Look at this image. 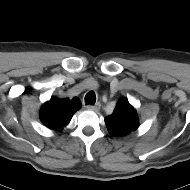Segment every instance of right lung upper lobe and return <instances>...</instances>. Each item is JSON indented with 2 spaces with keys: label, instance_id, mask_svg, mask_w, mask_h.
I'll list each match as a JSON object with an SVG mask.
<instances>
[{
  "label": "right lung upper lobe",
  "instance_id": "1",
  "mask_svg": "<svg viewBox=\"0 0 190 190\" xmlns=\"http://www.w3.org/2000/svg\"><path fill=\"white\" fill-rule=\"evenodd\" d=\"M80 107L81 101L77 97L73 99L52 97L41 107L40 119L48 128L60 131Z\"/></svg>",
  "mask_w": 190,
  "mask_h": 190
}]
</instances>
